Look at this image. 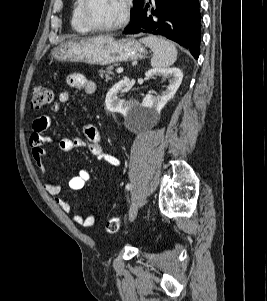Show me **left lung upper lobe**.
I'll return each mask as SVG.
<instances>
[{
    "label": "left lung upper lobe",
    "mask_w": 267,
    "mask_h": 301,
    "mask_svg": "<svg viewBox=\"0 0 267 301\" xmlns=\"http://www.w3.org/2000/svg\"><path fill=\"white\" fill-rule=\"evenodd\" d=\"M143 4L144 0H133V9L131 10L130 14L131 19H133L137 15Z\"/></svg>",
    "instance_id": "1"
}]
</instances>
